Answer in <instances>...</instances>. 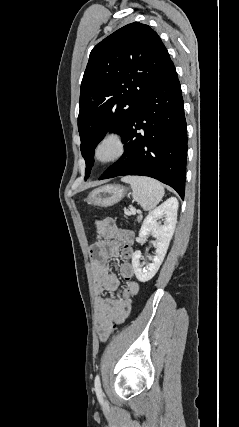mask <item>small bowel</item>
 Here are the masks:
<instances>
[{"label": "small bowel", "mask_w": 239, "mask_h": 427, "mask_svg": "<svg viewBox=\"0 0 239 427\" xmlns=\"http://www.w3.org/2000/svg\"><path fill=\"white\" fill-rule=\"evenodd\" d=\"M101 240L95 242L90 248L92 268L95 280L96 317L100 338L106 340L115 324H120L129 316L133 297L138 294L140 286L133 280L134 271L126 286L122 289L121 299L105 297L104 292L119 290L120 283L117 275L112 272L109 260L119 255L125 258L126 253L133 255L134 234L130 230L119 229L112 219H105L99 223ZM118 237H126V242H118ZM120 267V274H121ZM122 276V275H121Z\"/></svg>", "instance_id": "obj_1"}]
</instances>
